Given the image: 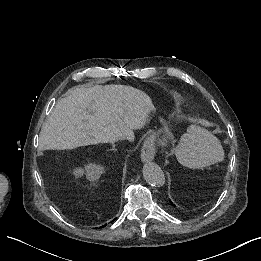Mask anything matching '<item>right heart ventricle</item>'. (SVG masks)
Masks as SVG:
<instances>
[{
  "label": "right heart ventricle",
  "mask_w": 261,
  "mask_h": 261,
  "mask_svg": "<svg viewBox=\"0 0 261 261\" xmlns=\"http://www.w3.org/2000/svg\"><path fill=\"white\" fill-rule=\"evenodd\" d=\"M185 99L184 96L176 90L167 89V95L164 102L155 111L142 114L145 119L161 115H182L184 116Z\"/></svg>",
  "instance_id": "obj_1"
}]
</instances>
